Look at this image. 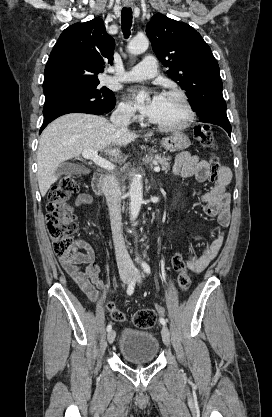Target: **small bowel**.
Here are the masks:
<instances>
[{"label":"small bowel","instance_id":"1","mask_svg":"<svg viewBox=\"0 0 272 417\" xmlns=\"http://www.w3.org/2000/svg\"><path fill=\"white\" fill-rule=\"evenodd\" d=\"M173 173L185 180L194 178L198 183L206 182L211 176L209 163L196 155L181 152L177 155ZM231 181L230 170L222 166L217 174L216 184L207 192L198 191L196 194L204 204V212L209 217L217 219L219 229L208 247L200 255H191L185 260L186 267L194 272L201 273L220 251L225 238L224 228L230 224V196L227 186ZM92 198L87 194H80L74 201L75 207L90 205ZM77 247L85 253L77 254L75 262L70 263L61 257V264L80 290L92 301L98 302L109 292L107 283L99 276L100 267L94 248L84 239H77ZM83 265V266H80ZM159 313L161 308L157 307Z\"/></svg>","mask_w":272,"mask_h":417}]
</instances>
